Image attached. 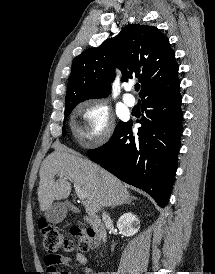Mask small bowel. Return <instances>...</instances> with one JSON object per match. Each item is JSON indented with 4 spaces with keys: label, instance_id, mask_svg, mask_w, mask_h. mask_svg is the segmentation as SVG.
<instances>
[{
    "label": "small bowel",
    "instance_id": "c3829d8e",
    "mask_svg": "<svg viewBox=\"0 0 215 274\" xmlns=\"http://www.w3.org/2000/svg\"><path fill=\"white\" fill-rule=\"evenodd\" d=\"M74 261L84 267L85 274H106L105 272L96 271L93 267L88 266V260L81 252H74L73 257L62 256L58 254H47L44 257L46 272H49V274H71L67 271H59L57 266L70 265Z\"/></svg>",
    "mask_w": 215,
    "mask_h": 274
}]
</instances>
